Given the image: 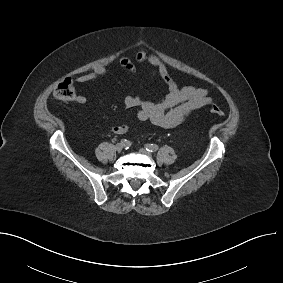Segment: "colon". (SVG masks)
Here are the masks:
<instances>
[{"label": "colon", "mask_w": 283, "mask_h": 283, "mask_svg": "<svg viewBox=\"0 0 283 283\" xmlns=\"http://www.w3.org/2000/svg\"><path fill=\"white\" fill-rule=\"evenodd\" d=\"M53 96L56 100L61 102H70L75 97V89L70 79L61 81L54 90ZM210 112L217 117H223V110L217 105L210 106Z\"/></svg>", "instance_id": "obj_1"}]
</instances>
